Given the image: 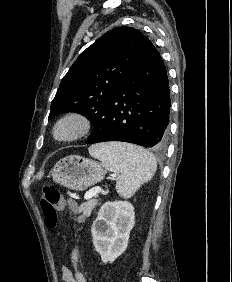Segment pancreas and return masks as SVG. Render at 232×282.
<instances>
[{"label": "pancreas", "instance_id": "obj_1", "mask_svg": "<svg viewBox=\"0 0 232 282\" xmlns=\"http://www.w3.org/2000/svg\"><path fill=\"white\" fill-rule=\"evenodd\" d=\"M98 205V200L92 199L85 203H82L79 207V212H82L84 216L89 217L92 210Z\"/></svg>", "mask_w": 232, "mask_h": 282}]
</instances>
